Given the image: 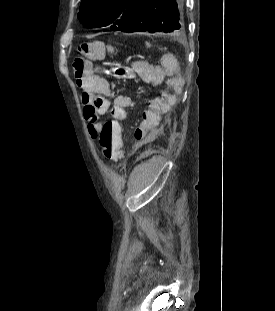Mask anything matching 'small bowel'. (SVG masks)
I'll return each instance as SVG.
<instances>
[{
	"label": "small bowel",
	"instance_id": "obj_1",
	"mask_svg": "<svg viewBox=\"0 0 275 311\" xmlns=\"http://www.w3.org/2000/svg\"><path fill=\"white\" fill-rule=\"evenodd\" d=\"M112 51V48H108ZM180 56H158L156 64L150 65L149 60H130L129 66L134 67L132 75L138 74L139 80H149V87H160L161 96H151L148 105L139 115L135 132H131L133 143H152L153 134L159 125L160 116L164 112H172L176 108L177 97L183 93V69ZM128 75V73H127ZM77 85L82 88V103L84 117L88 122V130L95 137L104 125L98 117L110 112L112 118H117L118 123L126 119V108L131 104V98L126 95H111L109 83L89 72L76 76ZM118 132L120 131L117 130Z\"/></svg>",
	"mask_w": 275,
	"mask_h": 311
}]
</instances>
